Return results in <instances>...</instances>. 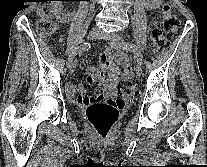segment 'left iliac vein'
<instances>
[{"instance_id": "4c4485c4", "label": "left iliac vein", "mask_w": 207, "mask_h": 167, "mask_svg": "<svg viewBox=\"0 0 207 167\" xmlns=\"http://www.w3.org/2000/svg\"><path fill=\"white\" fill-rule=\"evenodd\" d=\"M100 37L102 39L107 40L114 49H120V48H122L123 47L122 46L123 43H125L124 40H123V38L120 35L115 34V33L102 34ZM135 71H136V74L138 76H140L142 74V66H141V64L138 63L136 65Z\"/></svg>"}]
</instances>
